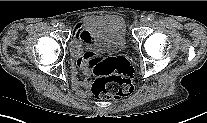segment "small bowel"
Segmentation results:
<instances>
[{
  "instance_id": "small-bowel-1",
  "label": "small bowel",
  "mask_w": 207,
  "mask_h": 123,
  "mask_svg": "<svg viewBox=\"0 0 207 123\" xmlns=\"http://www.w3.org/2000/svg\"><path fill=\"white\" fill-rule=\"evenodd\" d=\"M85 31L81 24L76 26L75 39L71 42L70 51L74 57L71 69V86L75 93L81 97H89L91 95L92 70L89 66L90 60L94 57V53L88 51L83 53L81 50V39L85 36ZM82 72L84 80L78 78V73Z\"/></svg>"
}]
</instances>
